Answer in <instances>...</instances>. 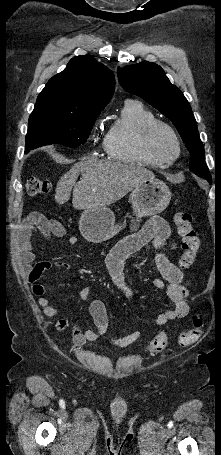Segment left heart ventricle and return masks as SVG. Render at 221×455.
Instances as JSON below:
<instances>
[{
	"label": "left heart ventricle",
	"instance_id": "obj_1",
	"mask_svg": "<svg viewBox=\"0 0 221 455\" xmlns=\"http://www.w3.org/2000/svg\"><path fill=\"white\" fill-rule=\"evenodd\" d=\"M160 144L161 147L171 156L175 155L176 153V147L173 142V140L166 135L165 133H162L160 135Z\"/></svg>",
	"mask_w": 221,
	"mask_h": 455
}]
</instances>
